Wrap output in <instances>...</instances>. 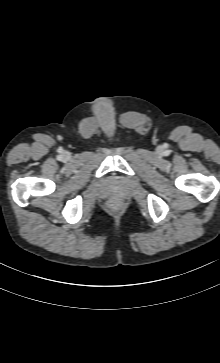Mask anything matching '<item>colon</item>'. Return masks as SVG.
<instances>
[{"instance_id": "5ec220e1", "label": "colon", "mask_w": 220, "mask_h": 363, "mask_svg": "<svg viewBox=\"0 0 220 363\" xmlns=\"http://www.w3.org/2000/svg\"><path fill=\"white\" fill-rule=\"evenodd\" d=\"M109 207L113 210H118L121 207V202L119 200H113L109 203Z\"/></svg>"}]
</instances>
